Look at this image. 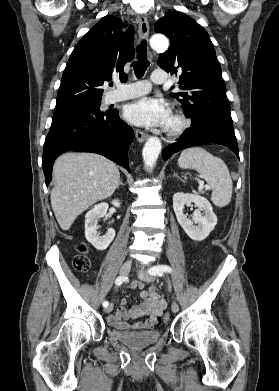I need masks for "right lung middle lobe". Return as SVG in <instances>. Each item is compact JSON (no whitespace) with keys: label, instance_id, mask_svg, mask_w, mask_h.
<instances>
[{"label":"right lung middle lobe","instance_id":"dd1d6c3e","mask_svg":"<svg viewBox=\"0 0 279 391\" xmlns=\"http://www.w3.org/2000/svg\"><path fill=\"white\" fill-rule=\"evenodd\" d=\"M100 105H101V100L79 103V104L72 105V106H69L66 108L54 110L53 117H56L59 115H65V114H81V113L102 115V114L106 113L107 111L102 112L100 110Z\"/></svg>","mask_w":279,"mask_h":391}]
</instances>
